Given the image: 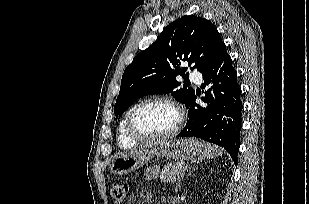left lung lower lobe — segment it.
Wrapping results in <instances>:
<instances>
[{
	"label": "left lung lower lobe",
	"instance_id": "1",
	"mask_svg": "<svg viewBox=\"0 0 309 204\" xmlns=\"http://www.w3.org/2000/svg\"><path fill=\"white\" fill-rule=\"evenodd\" d=\"M204 86L213 83L205 92L202 107L195 103L196 95L187 107L189 119L178 137H197L222 146L237 163L240 147L241 88L237 81V72L232 66V59L224 46L215 62L202 72Z\"/></svg>",
	"mask_w": 309,
	"mask_h": 204
}]
</instances>
